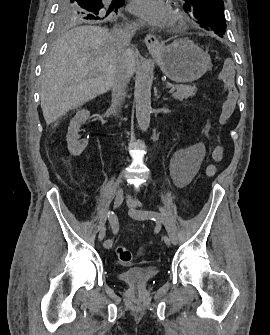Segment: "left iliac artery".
Instances as JSON below:
<instances>
[{
	"instance_id": "1",
	"label": "left iliac artery",
	"mask_w": 270,
	"mask_h": 335,
	"mask_svg": "<svg viewBox=\"0 0 270 335\" xmlns=\"http://www.w3.org/2000/svg\"><path fill=\"white\" fill-rule=\"evenodd\" d=\"M138 214L141 216H145L147 218H151L153 221H156L158 223H163L171 242L175 245L178 243L174 224L166 216L155 211H144V210H139Z\"/></svg>"
}]
</instances>
